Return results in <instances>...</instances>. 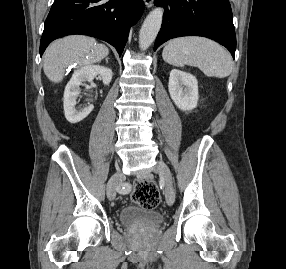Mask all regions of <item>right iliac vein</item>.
<instances>
[{
    "label": "right iliac vein",
    "mask_w": 286,
    "mask_h": 269,
    "mask_svg": "<svg viewBox=\"0 0 286 269\" xmlns=\"http://www.w3.org/2000/svg\"><path fill=\"white\" fill-rule=\"evenodd\" d=\"M124 175L121 171H117L113 176L109 179L107 183V196L109 200H114L116 197V188L118 183L123 180Z\"/></svg>",
    "instance_id": "63e3f726"
}]
</instances>
